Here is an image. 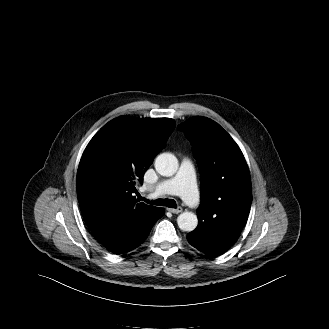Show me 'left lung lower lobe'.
Listing matches in <instances>:
<instances>
[{"label":"left lung lower lobe","instance_id":"0a47b994","mask_svg":"<svg viewBox=\"0 0 329 329\" xmlns=\"http://www.w3.org/2000/svg\"><path fill=\"white\" fill-rule=\"evenodd\" d=\"M244 226L228 223L222 232H206L200 227L188 234V242L208 256H218L226 252L239 238Z\"/></svg>","mask_w":329,"mask_h":329}]
</instances>
